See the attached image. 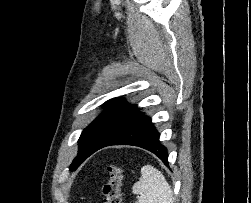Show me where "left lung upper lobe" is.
I'll use <instances>...</instances> for the list:
<instances>
[{
	"mask_svg": "<svg viewBox=\"0 0 251 203\" xmlns=\"http://www.w3.org/2000/svg\"><path fill=\"white\" fill-rule=\"evenodd\" d=\"M122 98H114L104 103L105 111L86 127L79 140V150L70 170H75L89 155L101 145L124 130L143 113Z\"/></svg>",
	"mask_w": 251,
	"mask_h": 203,
	"instance_id": "5c2ea615",
	"label": "left lung upper lobe"
}]
</instances>
